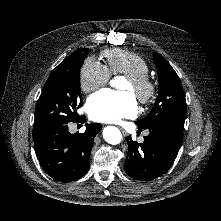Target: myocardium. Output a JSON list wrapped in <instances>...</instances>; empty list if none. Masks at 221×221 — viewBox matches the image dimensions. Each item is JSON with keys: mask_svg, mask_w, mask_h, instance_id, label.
Wrapping results in <instances>:
<instances>
[{"mask_svg": "<svg viewBox=\"0 0 221 221\" xmlns=\"http://www.w3.org/2000/svg\"><path fill=\"white\" fill-rule=\"evenodd\" d=\"M127 82L133 88L135 96L140 104L150 103L156 95V84L148 75L127 76Z\"/></svg>", "mask_w": 221, "mask_h": 221, "instance_id": "myocardium-1", "label": "myocardium"}]
</instances>
